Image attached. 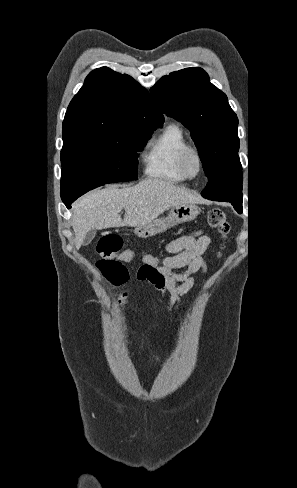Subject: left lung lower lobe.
<instances>
[{
    "label": "left lung lower lobe",
    "instance_id": "0a47b994",
    "mask_svg": "<svg viewBox=\"0 0 297 488\" xmlns=\"http://www.w3.org/2000/svg\"><path fill=\"white\" fill-rule=\"evenodd\" d=\"M237 211H238L239 213H241V212H242V209H241V208H237Z\"/></svg>",
    "mask_w": 297,
    "mask_h": 488
}]
</instances>
